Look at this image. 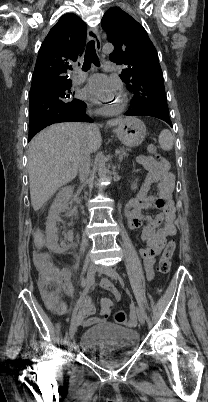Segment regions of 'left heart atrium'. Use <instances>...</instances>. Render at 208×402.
<instances>
[{"label": "left heart atrium", "mask_w": 208, "mask_h": 402, "mask_svg": "<svg viewBox=\"0 0 208 402\" xmlns=\"http://www.w3.org/2000/svg\"><path fill=\"white\" fill-rule=\"evenodd\" d=\"M115 90L116 86L106 75L95 74L80 90V97L86 101L109 100Z\"/></svg>", "instance_id": "obj_1"}]
</instances>
